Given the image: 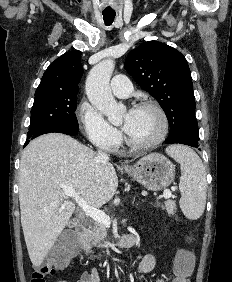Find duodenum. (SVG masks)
<instances>
[{"instance_id":"duodenum-1","label":"duodenum","mask_w":232,"mask_h":282,"mask_svg":"<svg viewBox=\"0 0 232 282\" xmlns=\"http://www.w3.org/2000/svg\"><path fill=\"white\" fill-rule=\"evenodd\" d=\"M76 236L80 249L88 256L91 255L90 247L87 242V229L85 225L80 224L76 227ZM135 243V238L132 235H123L116 242L115 245L120 248L132 247Z\"/></svg>"}]
</instances>
